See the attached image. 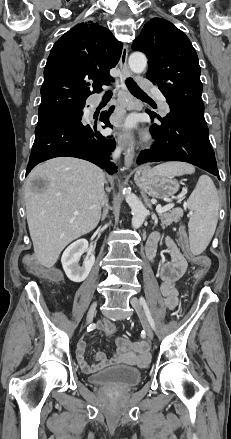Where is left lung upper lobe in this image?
Masks as SVG:
<instances>
[{
    "label": "left lung upper lobe",
    "instance_id": "5c2ea615",
    "mask_svg": "<svg viewBox=\"0 0 231 439\" xmlns=\"http://www.w3.org/2000/svg\"><path fill=\"white\" fill-rule=\"evenodd\" d=\"M148 58L146 77L174 111L206 124L198 56L188 37L171 22L153 18L132 44Z\"/></svg>",
    "mask_w": 231,
    "mask_h": 439
}]
</instances>
